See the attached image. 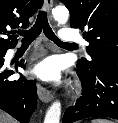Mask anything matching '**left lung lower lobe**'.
Masks as SVG:
<instances>
[{
  "instance_id": "obj_1",
  "label": "left lung lower lobe",
  "mask_w": 118,
  "mask_h": 123,
  "mask_svg": "<svg viewBox=\"0 0 118 123\" xmlns=\"http://www.w3.org/2000/svg\"><path fill=\"white\" fill-rule=\"evenodd\" d=\"M83 93L75 105L67 108L63 123L97 116L118 120V63L103 62L88 72L77 66Z\"/></svg>"
}]
</instances>
